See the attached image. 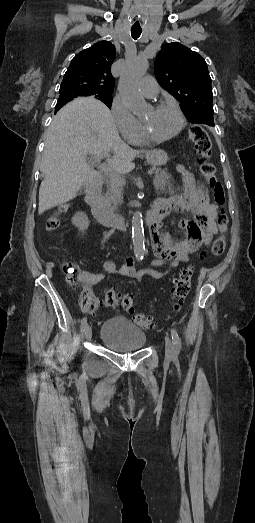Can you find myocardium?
<instances>
[{"label": "myocardium", "instance_id": "1", "mask_svg": "<svg viewBox=\"0 0 255 523\" xmlns=\"http://www.w3.org/2000/svg\"><path fill=\"white\" fill-rule=\"evenodd\" d=\"M164 106H170L176 111V113L179 117V124H178L177 129L170 135L157 137V136L151 135L150 132L148 131L147 127L145 126V124L142 121H140V133H141V137L144 141L154 142V143L169 141V140L175 138L182 131V129L185 125V117H184V114H183L182 110L180 109V107L175 102L166 100V101H160V102L154 104L152 108L154 110H157Z\"/></svg>", "mask_w": 255, "mask_h": 523}]
</instances>
